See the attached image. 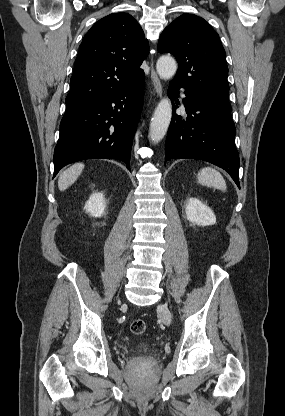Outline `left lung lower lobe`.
Masks as SVG:
<instances>
[{
  "label": "left lung lower lobe",
  "instance_id": "left-lung-lower-lobe-1",
  "mask_svg": "<svg viewBox=\"0 0 285 416\" xmlns=\"http://www.w3.org/2000/svg\"><path fill=\"white\" fill-rule=\"evenodd\" d=\"M179 88L182 87L170 82L168 95L172 102L178 98ZM184 93L187 118L184 120L173 112L166 139L165 165L171 159L204 160L226 170L240 188V160L229 104L205 100L186 90Z\"/></svg>",
  "mask_w": 285,
  "mask_h": 416
}]
</instances>
